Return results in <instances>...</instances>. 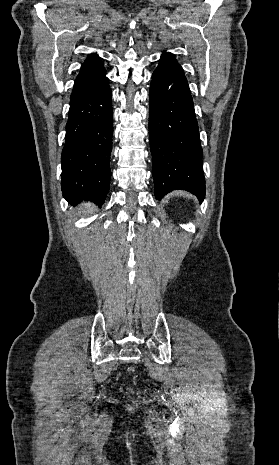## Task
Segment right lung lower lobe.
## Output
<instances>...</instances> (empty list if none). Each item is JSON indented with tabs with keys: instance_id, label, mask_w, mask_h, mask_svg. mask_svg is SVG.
Here are the masks:
<instances>
[{
	"instance_id": "1",
	"label": "right lung lower lobe",
	"mask_w": 279,
	"mask_h": 465,
	"mask_svg": "<svg viewBox=\"0 0 279 465\" xmlns=\"http://www.w3.org/2000/svg\"><path fill=\"white\" fill-rule=\"evenodd\" d=\"M111 89L107 77L70 101L62 150V193L71 203L91 200L101 206L107 196L112 149Z\"/></svg>"
}]
</instances>
